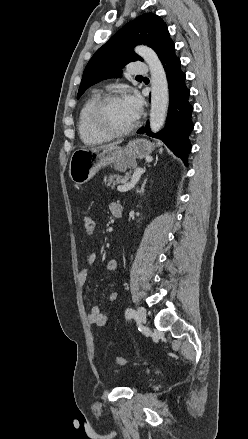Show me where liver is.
Returning a JSON list of instances; mask_svg holds the SVG:
<instances>
[{
	"instance_id": "6515ba94",
	"label": "liver",
	"mask_w": 248,
	"mask_h": 439,
	"mask_svg": "<svg viewBox=\"0 0 248 439\" xmlns=\"http://www.w3.org/2000/svg\"><path fill=\"white\" fill-rule=\"evenodd\" d=\"M118 143H113L112 145H117Z\"/></svg>"
}]
</instances>
